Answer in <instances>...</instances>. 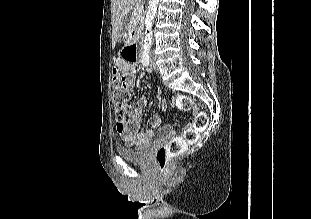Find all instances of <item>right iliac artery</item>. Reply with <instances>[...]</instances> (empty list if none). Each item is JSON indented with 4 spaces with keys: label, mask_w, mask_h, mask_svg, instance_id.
Here are the masks:
<instances>
[{
    "label": "right iliac artery",
    "mask_w": 311,
    "mask_h": 219,
    "mask_svg": "<svg viewBox=\"0 0 311 219\" xmlns=\"http://www.w3.org/2000/svg\"><path fill=\"white\" fill-rule=\"evenodd\" d=\"M150 62V55H149V50H144L143 55H142V64L144 66H148Z\"/></svg>",
    "instance_id": "obj_1"
}]
</instances>
